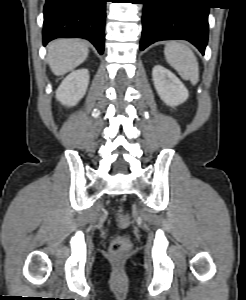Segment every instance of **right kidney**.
Wrapping results in <instances>:
<instances>
[{"mask_svg":"<svg viewBox=\"0 0 246 300\" xmlns=\"http://www.w3.org/2000/svg\"><path fill=\"white\" fill-rule=\"evenodd\" d=\"M89 84L87 69L72 71L56 91V99L66 106H75L85 95Z\"/></svg>","mask_w":246,"mask_h":300,"instance_id":"ca27d5eb","label":"right kidney"}]
</instances>
